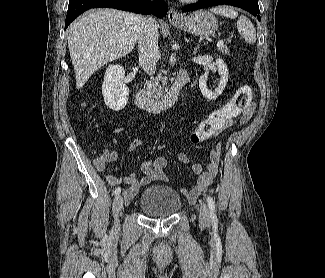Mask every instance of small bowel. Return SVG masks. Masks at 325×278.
<instances>
[{"mask_svg":"<svg viewBox=\"0 0 325 278\" xmlns=\"http://www.w3.org/2000/svg\"><path fill=\"white\" fill-rule=\"evenodd\" d=\"M253 111L254 108L252 105L248 109L243 111L238 118L239 123H246L251 118ZM144 144V140L135 139L131 142L129 150L133 151L137 147L142 146ZM118 156L119 154L117 151L104 149L102 154L94 160V165L99 171H103L106 168L107 164L115 161ZM220 156L221 145L217 144L210 151L209 162L206 167H203L201 164L198 163L193 164L191 167L192 172L198 175L196 184L191 189H182V193L191 198H195L198 194L206 190L217 172L218 165L220 162ZM178 160L182 164L187 165L190 163V158L185 153L179 154ZM167 163V158L157 157L153 160L146 161L141 165V171L143 173V176L141 178H137L134 173H128L125 176L106 175L105 179L110 185H117L122 182L128 185V187L123 190V197L128 203L132 198L136 196L140 188L156 181H168V177L164 173V168L166 167Z\"/></svg>","mask_w":325,"mask_h":278,"instance_id":"1","label":"small bowel"}]
</instances>
